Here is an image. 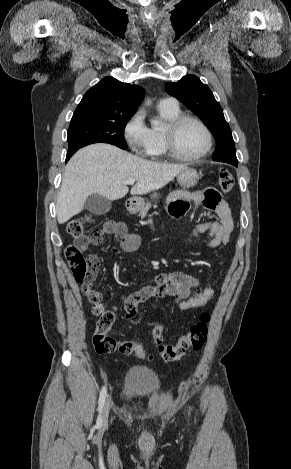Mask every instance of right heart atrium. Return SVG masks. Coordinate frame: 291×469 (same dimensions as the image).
Returning a JSON list of instances; mask_svg holds the SVG:
<instances>
[{
	"instance_id": "d8ad5b80",
	"label": "right heart atrium",
	"mask_w": 291,
	"mask_h": 469,
	"mask_svg": "<svg viewBox=\"0 0 291 469\" xmlns=\"http://www.w3.org/2000/svg\"><path fill=\"white\" fill-rule=\"evenodd\" d=\"M123 138L133 152L137 154L146 152L150 143V128L146 125L141 111H137L125 123Z\"/></svg>"
}]
</instances>
